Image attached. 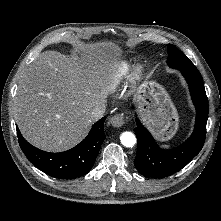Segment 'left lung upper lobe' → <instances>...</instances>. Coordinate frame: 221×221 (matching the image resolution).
<instances>
[{
	"instance_id": "5c2ea615",
	"label": "left lung upper lobe",
	"mask_w": 221,
	"mask_h": 221,
	"mask_svg": "<svg viewBox=\"0 0 221 221\" xmlns=\"http://www.w3.org/2000/svg\"><path fill=\"white\" fill-rule=\"evenodd\" d=\"M168 59L167 63L170 67L180 69V68H190L195 65L174 45L168 44Z\"/></svg>"
}]
</instances>
